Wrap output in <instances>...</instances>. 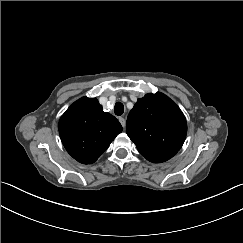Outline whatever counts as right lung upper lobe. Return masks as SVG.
Here are the masks:
<instances>
[{
    "label": "right lung upper lobe",
    "instance_id": "obj_1",
    "mask_svg": "<svg viewBox=\"0 0 243 243\" xmlns=\"http://www.w3.org/2000/svg\"><path fill=\"white\" fill-rule=\"evenodd\" d=\"M61 141L78 162L91 164L122 132L119 121L104 112L96 98L82 97L61 116L58 124Z\"/></svg>",
    "mask_w": 243,
    "mask_h": 243
}]
</instances>
